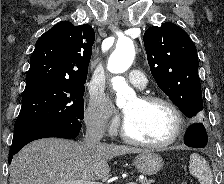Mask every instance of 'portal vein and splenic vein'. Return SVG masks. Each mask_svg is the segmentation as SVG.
Wrapping results in <instances>:
<instances>
[{
    "instance_id": "obj_1",
    "label": "portal vein and splenic vein",
    "mask_w": 224,
    "mask_h": 184,
    "mask_svg": "<svg viewBox=\"0 0 224 184\" xmlns=\"http://www.w3.org/2000/svg\"><path fill=\"white\" fill-rule=\"evenodd\" d=\"M57 184H99L97 182L85 181V180H75V181H64L58 182ZM126 184H136L135 182H128Z\"/></svg>"
}]
</instances>
